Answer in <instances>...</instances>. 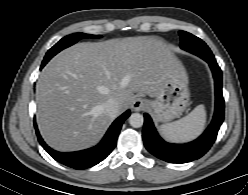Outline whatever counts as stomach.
Returning <instances> with one entry per match:
<instances>
[{
	"instance_id": "1",
	"label": "stomach",
	"mask_w": 248,
	"mask_h": 195,
	"mask_svg": "<svg viewBox=\"0 0 248 195\" xmlns=\"http://www.w3.org/2000/svg\"><path fill=\"white\" fill-rule=\"evenodd\" d=\"M188 78L183 68L177 69L165 81L155 100L148 105L158 122H168L179 117L189 105Z\"/></svg>"
}]
</instances>
